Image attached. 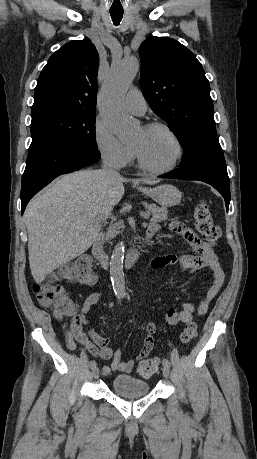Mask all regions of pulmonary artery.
Returning a JSON list of instances; mask_svg holds the SVG:
<instances>
[{"label":"pulmonary artery","mask_w":257,"mask_h":459,"mask_svg":"<svg viewBox=\"0 0 257 459\" xmlns=\"http://www.w3.org/2000/svg\"><path fill=\"white\" fill-rule=\"evenodd\" d=\"M125 109L135 115H143L147 109L145 98L141 91L137 88H132L124 99Z\"/></svg>","instance_id":"pulmonary-artery-1"}]
</instances>
